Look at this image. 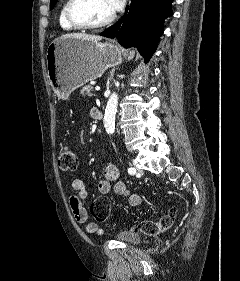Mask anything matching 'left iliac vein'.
Listing matches in <instances>:
<instances>
[{"label":"left iliac vein","mask_w":240,"mask_h":281,"mask_svg":"<svg viewBox=\"0 0 240 281\" xmlns=\"http://www.w3.org/2000/svg\"><path fill=\"white\" fill-rule=\"evenodd\" d=\"M134 166L136 168V171H137V175H142L143 174V171L137 167L136 163L134 162Z\"/></svg>","instance_id":"left-iliac-vein-1"}]
</instances>
